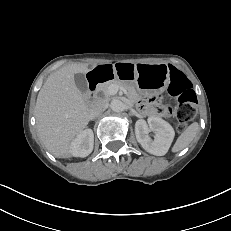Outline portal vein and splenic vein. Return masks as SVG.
<instances>
[{
	"label": "portal vein and splenic vein",
	"instance_id": "obj_1",
	"mask_svg": "<svg viewBox=\"0 0 231 231\" xmlns=\"http://www.w3.org/2000/svg\"><path fill=\"white\" fill-rule=\"evenodd\" d=\"M118 90H119V87L116 86V85H112L110 87V89H109V91H110L111 94H116L118 92ZM123 92L126 93V90L123 89Z\"/></svg>",
	"mask_w": 231,
	"mask_h": 231
}]
</instances>
